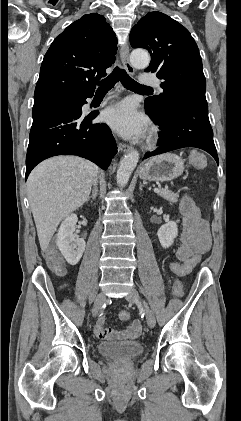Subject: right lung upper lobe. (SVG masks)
<instances>
[{
    "instance_id": "cb5924a9",
    "label": "right lung upper lobe",
    "mask_w": 241,
    "mask_h": 421,
    "mask_svg": "<svg viewBox=\"0 0 241 421\" xmlns=\"http://www.w3.org/2000/svg\"><path fill=\"white\" fill-rule=\"evenodd\" d=\"M117 38L104 16L86 14L68 26L44 56L34 106L48 100L94 92L115 61Z\"/></svg>"
}]
</instances>
